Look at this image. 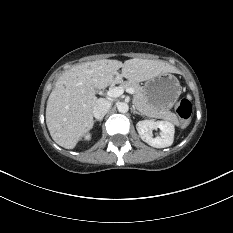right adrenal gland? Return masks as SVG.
Returning <instances> with one entry per match:
<instances>
[{"mask_svg": "<svg viewBox=\"0 0 233 233\" xmlns=\"http://www.w3.org/2000/svg\"><path fill=\"white\" fill-rule=\"evenodd\" d=\"M96 121H102V120L101 119H99V120L97 119Z\"/></svg>", "mask_w": 233, "mask_h": 233, "instance_id": "right-adrenal-gland-1", "label": "right adrenal gland"}]
</instances>
